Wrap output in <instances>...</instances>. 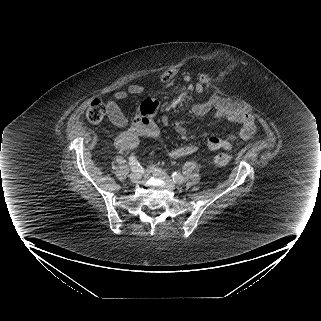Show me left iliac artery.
<instances>
[{
  "instance_id": "1",
  "label": "left iliac artery",
  "mask_w": 321,
  "mask_h": 321,
  "mask_svg": "<svg viewBox=\"0 0 321 321\" xmlns=\"http://www.w3.org/2000/svg\"><path fill=\"white\" fill-rule=\"evenodd\" d=\"M172 179L174 182L176 183H183L184 182V177L180 174V173H177V172H174L172 173Z\"/></svg>"
}]
</instances>
